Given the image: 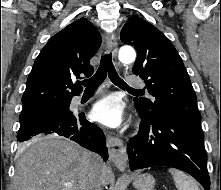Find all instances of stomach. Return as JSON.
I'll list each match as a JSON object with an SVG mask.
<instances>
[{"label": "stomach", "instance_id": "stomach-1", "mask_svg": "<svg viewBox=\"0 0 221 190\" xmlns=\"http://www.w3.org/2000/svg\"><path fill=\"white\" fill-rule=\"evenodd\" d=\"M133 186L137 190H153L155 179L148 173L136 175L133 177Z\"/></svg>", "mask_w": 221, "mask_h": 190}]
</instances>
